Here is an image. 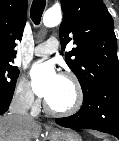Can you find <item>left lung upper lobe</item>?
Instances as JSON below:
<instances>
[{
	"label": "left lung upper lobe",
	"mask_w": 119,
	"mask_h": 141,
	"mask_svg": "<svg viewBox=\"0 0 119 141\" xmlns=\"http://www.w3.org/2000/svg\"><path fill=\"white\" fill-rule=\"evenodd\" d=\"M63 21L59 29L66 63L86 95L97 85L119 81V61L113 19L102 0H61Z\"/></svg>",
	"instance_id": "5c2ea615"
}]
</instances>
